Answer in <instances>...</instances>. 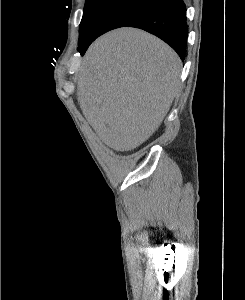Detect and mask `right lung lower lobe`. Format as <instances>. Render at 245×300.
<instances>
[{
  "label": "right lung lower lobe",
  "instance_id": "obj_1",
  "mask_svg": "<svg viewBox=\"0 0 245 300\" xmlns=\"http://www.w3.org/2000/svg\"><path fill=\"white\" fill-rule=\"evenodd\" d=\"M125 26L140 28L154 34L169 44L182 60L185 58L188 28L183 0L161 1ZM88 46H78L81 55Z\"/></svg>",
  "mask_w": 245,
  "mask_h": 300
}]
</instances>
